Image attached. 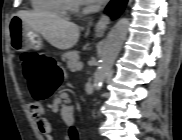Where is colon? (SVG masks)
Segmentation results:
<instances>
[{"label": "colon", "mask_w": 182, "mask_h": 140, "mask_svg": "<svg viewBox=\"0 0 182 140\" xmlns=\"http://www.w3.org/2000/svg\"><path fill=\"white\" fill-rule=\"evenodd\" d=\"M23 72L30 92L35 100H45L52 96L63 80V71L59 63L51 57L36 53L26 54L22 58ZM71 140H80L78 129L72 124L69 130Z\"/></svg>", "instance_id": "obj_1"}]
</instances>
